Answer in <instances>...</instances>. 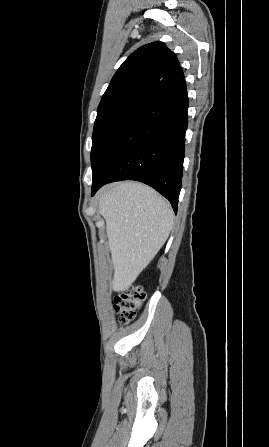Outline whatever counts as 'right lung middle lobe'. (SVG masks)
Listing matches in <instances>:
<instances>
[{
    "label": "right lung middle lobe",
    "instance_id": "dd1d6c3e",
    "mask_svg": "<svg viewBox=\"0 0 269 447\" xmlns=\"http://www.w3.org/2000/svg\"><path fill=\"white\" fill-rule=\"evenodd\" d=\"M138 109L140 108L122 107L96 117L91 149L92 164L122 121Z\"/></svg>",
    "mask_w": 269,
    "mask_h": 447
}]
</instances>
